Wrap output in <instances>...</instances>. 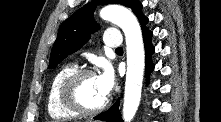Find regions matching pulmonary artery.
<instances>
[{
  "label": "pulmonary artery",
  "mask_w": 221,
  "mask_h": 122,
  "mask_svg": "<svg viewBox=\"0 0 221 122\" xmlns=\"http://www.w3.org/2000/svg\"><path fill=\"white\" fill-rule=\"evenodd\" d=\"M103 40L106 46L114 49L121 47L122 44L121 35L117 30H110L106 32Z\"/></svg>",
  "instance_id": "1"
}]
</instances>
